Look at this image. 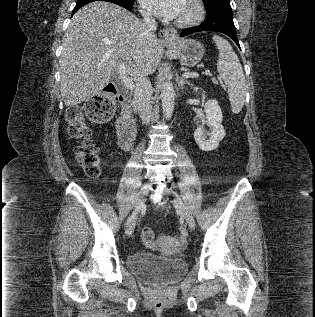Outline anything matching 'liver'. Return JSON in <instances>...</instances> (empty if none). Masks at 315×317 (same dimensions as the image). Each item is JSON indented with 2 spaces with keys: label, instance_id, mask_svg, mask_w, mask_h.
I'll return each mask as SVG.
<instances>
[{
  "label": "liver",
  "instance_id": "6515ba94",
  "mask_svg": "<svg viewBox=\"0 0 315 317\" xmlns=\"http://www.w3.org/2000/svg\"><path fill=\"white\" fill-rule=\"evenodd\" d=\"M143 21L108 2H92L72 17L63 37L60 92L64 104L76 106L97 95L110 81L112 71L125 65L135 81L153 74L161 45L145 34Z\"/></svg>",
  "mask_w": 315,
  "mask_h": 317
}]
</instances>
